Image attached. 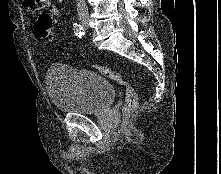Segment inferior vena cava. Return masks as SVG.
Listing matches in <instances>:
<instances>
[{"mask_svg":"<svg viewBox=\"0 0 221 174\" xmlns=\"http://www.w3.org/2000/svg\"><path fill=\"white\" fill-rule=\"evenodd\" d=\"M77 13L80 18L88 16V8L84 0H77Z\"/></svg>","mask_w":221,"mask_h":174,"instance_id":"inferior-vena-cava-1","label":"inferior vena cava"}]
</instances>
